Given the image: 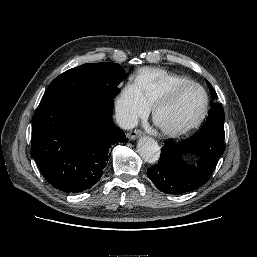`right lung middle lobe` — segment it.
<instances>
[{
  "label": "right lung middle lobe",
  "instance_id": "1",
  "mask_svg": "<svg viewBox=\"0 0 257 257\" xmlns=\"http://www.w3.org/2000/svg\"><path fill=\"white\" fill-rule=\"evenodd\" d=\"M124 69L109 62L87 63L69 69L56 77L45 91L41 102L64 96L88 95L113 100L118 95Z\"/></svg>",
  "mask_w": 257,
  "mask_h": 257
}]
</instances>
